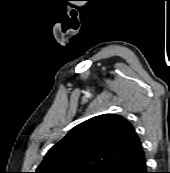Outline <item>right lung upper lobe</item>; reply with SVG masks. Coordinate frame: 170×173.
Returning <instances> with one entry per match:
<instances>
[{"instance_id": "obj_1", "label": "right lung upper lobe", "mask_w": 170, "mask_h": 173, "mask_svg": "<svg viewBox=\"0 0 170 173\" xmlns=\"http://www.w3.org/2000/svg\"><path fill=\"white\" fill-rule=\"evenodd\" d=\"M141 149L130 122L120 115L103 114L70 130L47 152L35 173L104 171Z\"/></svg>"}]
</instances>
